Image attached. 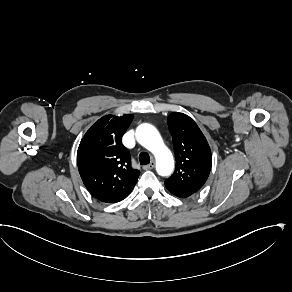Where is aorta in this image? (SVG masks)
<instances>
[{
    "mask_svg": "<svg viewBox=\"0 0 292 292\" xmlns=\"http://www.w3.org/2000/svg\"><path fill=\"white\" fill-rule=\"evenodd\" d=\"M136 136L139 143L153 154L158 173L169 175L174 169L173 155L157 129L150 124H142L137 128Z\"/></svg>",
    "mask_w": 292,
    "mask_h": 292,
    "instance_id": "1",
    "label": "aorta"
}]
</instances>
